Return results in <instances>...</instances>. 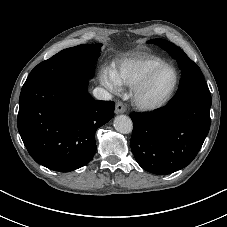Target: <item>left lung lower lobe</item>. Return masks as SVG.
Here are the masks:
<instances>
[{"instance_id": "1", "label": "left lung lower lobe", "mask_w": 227, "mask_h": 227, "mask_svg": "<svg viewBox=\"0 0 227 227\" xmlns=\"http://www.w3.org/2000/svg\"><path fill=\"white\" fill-rule=\"evenodd\" d=\"M211 105L168 104L151 113H131V150L138 164L154 174H170L189 165L210 129Z\"/></svg>"}]
</instances>
